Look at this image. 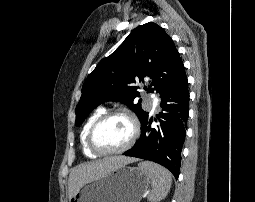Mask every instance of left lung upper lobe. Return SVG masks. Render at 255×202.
Wrapping results in <instances>:
<instances>
[{
	"instance_id": "left-lung-upper-lobe-1",
	"label": "left lung upper lobe",
	"mask_w": 255,
	"mask_h": 202,
	"mask_svg": "<svg viewBox=\"0 0 255 202\" xmlns=\"http://www.w3.org/2000/svg\"><path fill=\"white\" fill-rule=\"evenodd\" d=\"M185 74L184 65L170 36L157 24L146 23L135 28L124 42L108 57L102 59L82 87L76 107V125L105 101H121L138 116L147 117L140 105L138 87L129 86L149 77L148 92L160 94L174 87Z\"/></svg>"
}]
</instances>
